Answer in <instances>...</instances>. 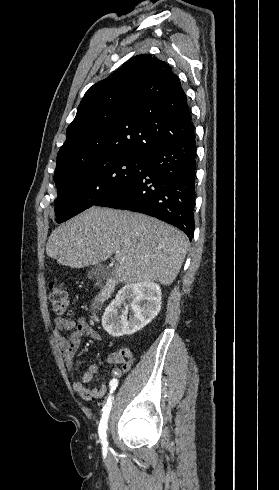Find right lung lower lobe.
<instances>
[{
	"mask_svg": "<svg viewBox=\"0 0 279 490\" xmlns=\"http://www.w3.org/2000/svg\"><path fill=\"white\" fill-rule=\"evenodd\" d=\"M143 174L95 206L141 212L182 230L190 240L195 220V134L146 158Z\"/></svg>",
	"mask_w": 279,
	"mask_h": 490,
	"instance_id": "98d812e1",
	"label": "right lung lower lobe"
}]
</instances>
